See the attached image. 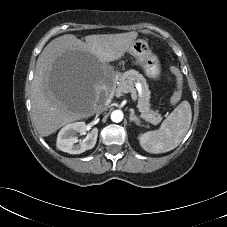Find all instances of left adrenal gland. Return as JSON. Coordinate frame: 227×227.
<instances>
[{"instance_id":"left-adrenal-gland-1","label":"left adrenal gland","mask_w":227,"mask_h":227,"mask_svg":"<svg viewBox=\"0 0 227 227\" xmlns=\"http://www.w3.org/2000/svg\"><path fill=\"white\" fill-rule=\"evenodd\" d=\"M129 121L135 122L137 125H139V118L134 114L133 111H131V113L129 115Z\"/></svg>"}]
</instances>
